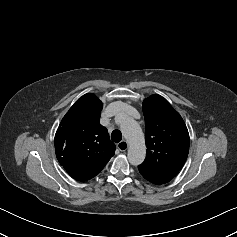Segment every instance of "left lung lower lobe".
<instances>
[{
	"label": "left lung lower lobe",
	"instance_id": "left-lung-lower-lobe-1",
	"mask_svg": "<svg viewBox=\"0 0 237 237\" xmlns=\"http://www.w3.org/2000/svg\"><path fill=\"white\" fill-rule=\"evenodd\" d=\"M139 172L141 173V175L146 179L148 180L149 182L153 183V184H164V183H167L169 182L170 180H167V179H163V178H159L155 175H152L148 172H145V171H140Z\"/></svg>",
	"mask_w": 237,
	"mask_h": 237
}]
</instances>
